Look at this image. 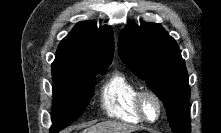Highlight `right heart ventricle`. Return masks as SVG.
Segmentation results:
<instances>
[{"mask_svg": "<svg viewBox=\"0 0 221 133\" xmlns=\"http://www.w3.org/2000/svg\"><path fill=\"white\" fill-rule=\"evenodd\" d=\"M139 85L124 73H114L101 89V106L107 116L128 123L142 120L135 109Z\"/></svg>", "mask_w": 221, "mask_h": 133, "instance_id": "1", "label": "right heart ventricle"}]
</instances>
